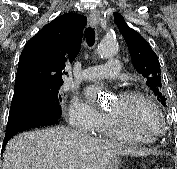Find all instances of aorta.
<instances>
[{
	"label": "aorta",
	"mask_w": 177,
	"mask_h": 169,
	"mask_svg": "<svg viewBox=\"0 0 177 169\" xmlns=\"http://www.w3.org/2000/svg\"><path fill=\"white\" fill-rule=\"evenodd\" d=\"M118 51V44L115 39H105L101 41L97 48V54L103 59L113 57Z\"/></svg>",
	"instance_id": "762f6f07"
}]
</instances>
